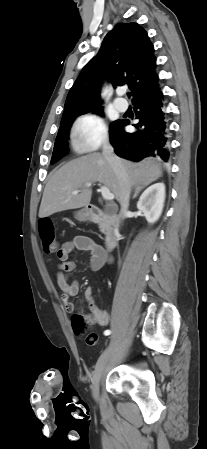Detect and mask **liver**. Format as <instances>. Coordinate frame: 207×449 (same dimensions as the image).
I'll return each instance as SVG.
<instances>
[{
    "instance_id": "obj_1",
    "label": "liver",
    "mask_w": 207,
    "mask_h": 449,
    "mask_svg": "<svg viewBox=\"0 0 207 449\" xmlns=\"http://www.w3.org/2000/svg\"><path fill=\"white\" fill-rule=\"evenodd\" d=\"M121 161L130 181V189H142L162 175L160 165L151 159L139 163ZM95 181L104 184L120 202L121 188L112 167L102 154L92 153L69 161L51 176L44 189L39 217L87 206L92 190L85 184ZM79 188L82 189L78 194H72Z\"/></svg>"
}]
</instances>
